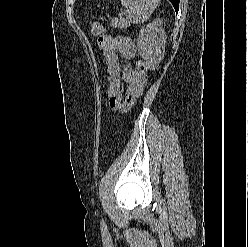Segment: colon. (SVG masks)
<instances>
[{"label": "colon", "mask_w": 248, "mask_h": 247, "mask_svg": "<svg viewBox=\"0 0 248 247\" xmlns=\"http://www.w3.org/2000/svg\"><path fill=\"white\" fill-rule=\"evenodd\" d=\"M91 28H92V33L94 35H102L106 32L105 27L99 22H93ZM136 71L139 74L142 81L145 83V75L147 72V67L142 60L137 61Z\"/></svg>", "instance_id": "obj_1"}]
</instances>
